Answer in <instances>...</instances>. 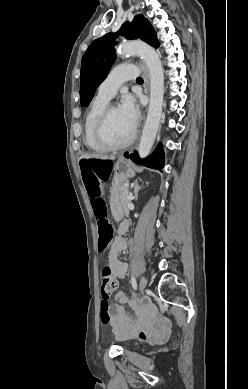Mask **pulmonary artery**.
<instances>
[{"instance_id":"pulmonary-artery-1","label":"pulmonary artery","mask_w":248,"mask_h":389,"mask_svg":"<svg viewBox=\"0 0 248 389\" xmlns=\"http://www.w3.org/2000/svg\"><path fill=\"white\" fill-rule=\"evenodd\" d=\"M138 68L131 63H123L112 69L108 77L100 84L98 95L108 100L112 99L118 88L127 80L137 77Z\"/></svg>"}]
</instances>
